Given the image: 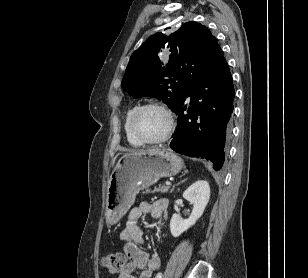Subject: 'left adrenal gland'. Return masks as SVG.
I'll return each mask as SVG.
<instances>
[{
    "instance_id": "1",
    "label": "left adrenal gland",
    "mask_w": 308,
    "mask_h": 278,
    "mask_svg": "<svg viewBox=\"0 0 308 278\" xmlns=\"http://www.w3.org/2000/svg\"><path fill=\"white\" fill-rule=\"evenodd\" d=\"M186 180V179H185ZM185 180L179 182L177 185H179L180 183L184 182ZM174 190V187L171 189V192Z\"/></svg>"
}]
</instances>
